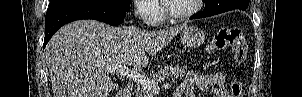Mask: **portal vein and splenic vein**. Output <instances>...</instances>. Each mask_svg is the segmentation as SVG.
Wrapping results in <instances>:
<instances>
[{"mask_svg":"<svg viewBox=\"0 0 302 97\" xmlns=\"http://www.w3.org/2000/svg\"><path fill=\"white\" fill-rule=\"evenodd\" d=\"M105 71L107 73H118L121 76L130 78L152 93H158L160 91L159 86L153 80L145 77L140 73L132 71L123 65H108L106 66Z\"/></svg>","mask_w":302,"mask_h":97,"instance_id":"18ae733b","label":"portal vein and splenic vein"}]
</instances>
